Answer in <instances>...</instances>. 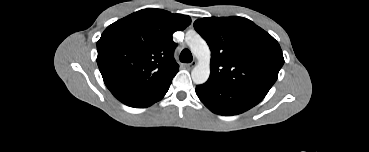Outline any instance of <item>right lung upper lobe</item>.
<instances>
[{
  "label": "right lung upper lobe",
  "instance_id": "1",
  "mask_svg": "<svg viewBox=\"0 0 369 152\" xmlns=\"http://www.w3.org/2000/svg\"><path fill=\"white\" fill-rule=\"evenodd\" d=\"M190 23L186 15L143 9L108 26L97 64L111 93L127 104L161 91L179 70L172 35Z\"/></svg>",
  "mask_w": 369,
  "mask_h": 152
}]
</instances>
